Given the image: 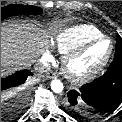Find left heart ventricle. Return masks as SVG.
Returning a JSON list of instances; mask_svg holds the SVG:
<instances>
[{
  "label": "left heart ventricle",
  "instance_id": "1",
  "mask_svg": "<svg viewBox=\"0 0 122 122\" xmlns=\"http://www.w3.org/2000/svg\"><path fill=\"white\" fill-rule=\"evenodd\" d=\"M109 43L102 41L89 48L83 55L72 61L70 68L75 74H83L98 65L106 56Z\"/></svg>",
  "mask_w": 122,
  "mask_h": 122
}]
</instances>
